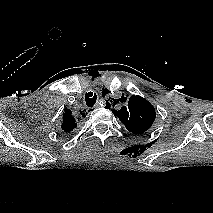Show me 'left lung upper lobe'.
Here are the masks:
<instances>
[{
  "label": "left lung upper lobe",
  "instance_id": "5c2ea615",
  "mask_svg": "<svg viewBox=\"0 0 213 213\" xmlns=\"http://www.w3.org/2000/svg\"><path fill=\"white\" fill-rule=\"evenodd\" d=\"M127 97L123 94L121 98L117 99L125 105L118 111L113 110V113L126 126L128 131L134 134H142L152 126L156 117L155 108L140 96Z\"/></svg>",
  "mask_w": 213,
  "mask_h": 213
}]
</instances>
